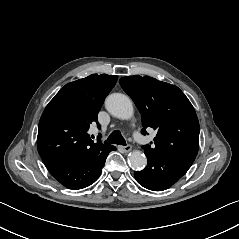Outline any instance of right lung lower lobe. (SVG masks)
Masks as SVG:
<instances>
[{
  "label": "right lung lower lobe",
  "mask_w": 239,
  "mask_h": 239,
  "mask_svg": "<svg viewBox=\"0 0 239 239\" xmlns=\"http://www.w3.org/2000/svg\"><path fill=\"white\" fill-rule=\"evenodd\" d=\"M116 148L105 145L87 155L44 161L51 175L69 189H82L93 184L101 174L107 155Z\"/></svg>",
  "instance_id": "1"
}]
</instances>
